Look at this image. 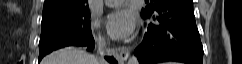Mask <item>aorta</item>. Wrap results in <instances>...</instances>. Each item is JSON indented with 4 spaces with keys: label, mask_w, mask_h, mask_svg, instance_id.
I'll return each instance as SVG.
<instances>
[{
    "label": "aorta",
    "mask_w": 242,
    "mask_h": 64,
    "mask_svg": "<svg viewBox=\"0 0 242 64\" xmlns=\"http://www.w3.org/2000/svg\"><path fill=\"white\" fill-rule=\"evenodd\" d=\"M127 64H138V59L136 56H131Z\"/></svg>",
    "instance_id": "762f6f07"
}]
</instances>
